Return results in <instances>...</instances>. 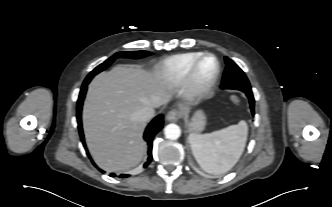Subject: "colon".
<instances>
[{"label":"colon","instance_id":"colon-1","mask_svg":"<svg viewBox=\"0 0 332 207\" xmlns=\"http://www.w3.org/2000/svg\"><path fill=\"white\" fill-rule=\"evenodd\" d=\"M230 100H231V102H232L234 105L239 106V105L241 104V100H240V98L237 97V96H235V95H232V96L230 97Z\"/></svg>","mask_w":332,"mask_h":207}]
</instances>
